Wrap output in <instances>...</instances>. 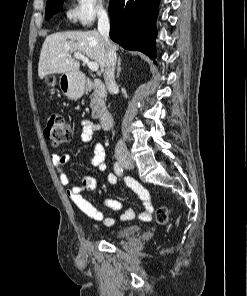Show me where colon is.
<instances>
[{
  "label": "colon",
  "mask_w": 247,
  "mask_h": 296,
  "mask_svg": "<svg viewBox=\"0 0 247 296\" xmlns=\"http://www.w3.org/2000/svg\"><path fill=\"white\" fill-rule=\"evenodd\" d=\"M45 135L53 144H64L72 140L73 129L63 115L53 113L45 128ZM145 217L148 218L149 215L146 214ZM155 217L159 224L166 225L169 219L167 208L164 206L157 207L155 209Z\"/></svg>",
  "instance_id": "obj_1"
}]
</instances>
